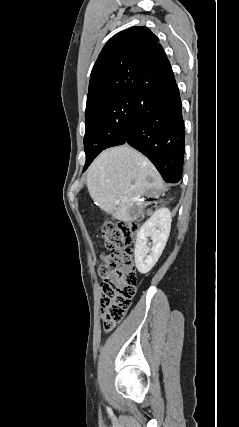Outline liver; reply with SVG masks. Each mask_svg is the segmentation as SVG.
<instances>
[{"instance_id": "1", "label": "liver", "mask_w": 239, "mask_h": 427, "mask_svg": "<svg viewBox=\"0 0 239 427\" xmlns=\"http://www.w3.org/2000/svg\"><path fill=\"white\" fill-rule=\"evenodd\" d=\"M87 188L102 210L119 221L129 222L144 207L143 196L159 194L164 183L150 161L126 144L103 151L93 161Z\"/></svg>"}]
</instances>
